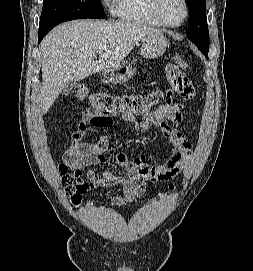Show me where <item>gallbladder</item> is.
Listing matches in <instances>:
<instances>
[{
	"instance_id": "obj_1",
	"label": "gallbladder",
	"mask_w": 253,
	"mask_h": 271,
	"mask_svg": "<svg viewBox=\"0 0 253 271\" xmlns=\"http://www.w3.org/2000/svg\"><path fill=\"white\" fill-rule=\"evenodd\" d=\"M75 89H76V84L73 82H68L66 83L63 90L61 91V94L63 96H69L75 92Z\"/></svg>"
}]
</instances>
